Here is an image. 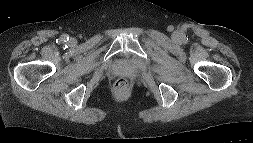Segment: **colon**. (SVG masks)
Wrapping results in <instances>:
<instances>
[{
	"mask_svg": "<svg viewBox=\"0 0 253 143\" xmlns=\"http://www.w3.org/2000/svg\"><path fill=\"white\" fill-rule=\"evenodd\" d=\"M114 87L118 91H124L129 87V82L126 78L121 77L115 81Z\"/></svg>",
	"mask_w": 253,
	"mask_h": 143,
	"instance_id": "1",
	"label": "colon"
}]
</instances>
